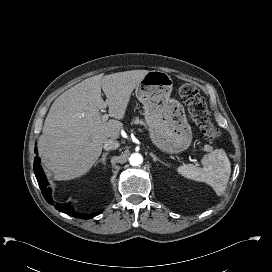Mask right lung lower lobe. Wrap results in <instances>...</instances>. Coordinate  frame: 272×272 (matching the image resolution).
Wrapping results in <instances>:
<instances>
[{
	"instance_id": "1",
	"label": "right lung lower lobe",
	"mask_w": 272,
	"mask_h": 272,
	"mask_svg": "<svg viewBox=\"0 0 272 272\" xmlns=\"http://www.w3.org/2000/svg\"><path fill=\"white\" fill-rule=\"evenodd\" d=\"M35 153L37 154V149L35 148ZM34 172H35V176L38 180V184L40 189L42 190V194L45 198V200L50 203V204H54L53 200H52V196H51V188L48 187V182L46 180L45 174L43 172V169L40 165V158L39 157H35L34 159ZM55 208L61 212H64L70 216H73L75 218H80V219H90L94 216H97L98 214L101 213V211L96 212V213H92V214H81L76 212L71 204H67V203H63V204H59L56 203L54 204Z\"/></svg>"
}]
</instances>
